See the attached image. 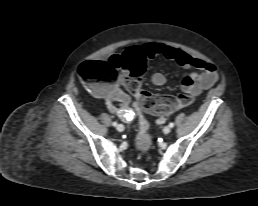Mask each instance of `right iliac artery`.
<instances>
[{
  "instance_id": "82829eb1",
  "label": "right iliac artery",
  "mask_w": 258,
  "mask_h": 206,
  "mask_svg": "<svg viewBox=\"0 0 258 206\" xmlns=\"http://www.w3.org/2000/svg\"><path fill=\"white\" fill-rule=\"evenodd\" d=\"M112 125H113L114 127H116L118 124H117V122H113Z\"/></svg>"
}]
</instances>
